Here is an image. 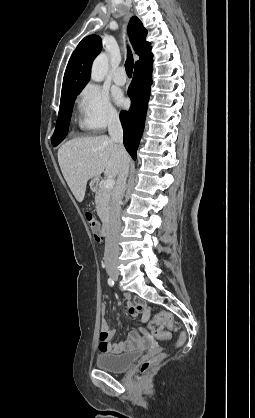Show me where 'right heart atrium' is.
<instances>
[{
	"mask_svg": "<svg viewBox=\"0 0 255 418\" xmlns=\"http://www.w3.org/2000/svg\"><path fill=\"white\" fill-rule=\"evenodd\" d=\"M79 124L87 131H100L119 119L108 93L96 84H87L78 99Z\"/></svg>",
	"mask_w": 255,
	"mask_h": 418,
	"instance_id": "d8ad5b80",
	"label": "right heart atrium"
}]
</instances>
